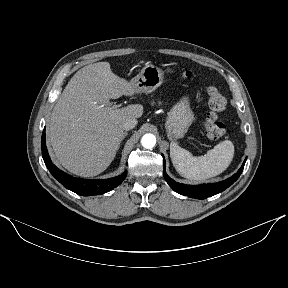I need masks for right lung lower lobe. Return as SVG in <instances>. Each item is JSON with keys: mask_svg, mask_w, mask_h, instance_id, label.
<instances>
[{"mask_svg": "<svg viewBox=\"0 0 288 288\" xmlns=\"http://www.w3.org/2000/svg\"><path fill=\"white\" fill-rule=\"evenodd\" d=\"M41 150L44 162L50 173L53 175V177H55L67 189L75 192L78 195L91 196V195L104 194L120 185L127 175V173L124 172L121 175L110 179H82V178H74L66 174L65 172L59 170L52 163L49 157L46 148L45 129L42 133L41 138Z\"/></svg>", "mask_w": 288, "mask_h": 288, "instance_id": "1", "label": "right lung lower lobe"}]
</instances>
